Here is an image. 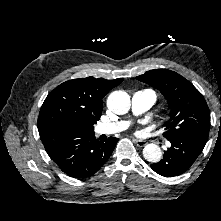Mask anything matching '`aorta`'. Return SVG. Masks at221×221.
I'll use <instances>...</instances> for the list:
<instances>
[{
    "mask_svg": "<svg viewBox=\"0 0 221 221\" xmlns=\"http://www.w3.org/2000/svg\"><path fill=\"white\" fill-rule=\"evenodd\" d=\"M130 105V97L125 91H114L108 96V108L118 115L127 113ZM143 156L145 160L156 163L161 160L162 151L158 145L150 143L144 147Z\"/></svg>",
    "mask_w": 221,
    "mask_h": 221,
    "instance_id": "aorta-1",
    "label": "aorta"
}]
</instances>
